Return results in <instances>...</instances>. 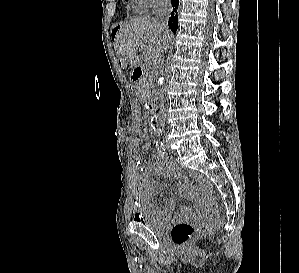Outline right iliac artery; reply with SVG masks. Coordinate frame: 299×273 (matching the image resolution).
Returning a JSON list of instances; mask_svg holds the SVG:
<instances>
[{
	"label": "right iliac artery",
	"mask_w": 299,
	"mask_h": 273,
	"mask_svg": "<svg viewBox=\"0 0 299 273\" xmlns=\"http://www.w3.org/2000/svg\"><path fill=\"white\" fill-rule=\"evenodd\" d=\"M156 147H157L158 152H159L161 155H164V154L166 153V149H165V146H164V143H163V142L157 143V144H156Z\"/></svg>",
	"instance_id": "right-iliac-artery-1"
}]
</instances>
